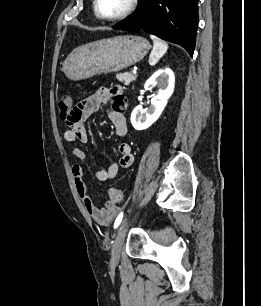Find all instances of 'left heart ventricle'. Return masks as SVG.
Listing matches in <instances>:
<instances>
[{
	"label": "left heart ventricle",
	"mask_w": 261,
	"mask_h": 306,
	"mask_svg": "<svg viewBox=\"0 0 261 306\" xmlns=\"http://www.w3.org/2000/svg\"><path fill=\"white\" fill-rule=\"evenodd\" d=\"M129 0H98V9L104 16H115L128 5Z\"/></svg>",
	"instance_id": "b2bd125f"
}]
</instances>
